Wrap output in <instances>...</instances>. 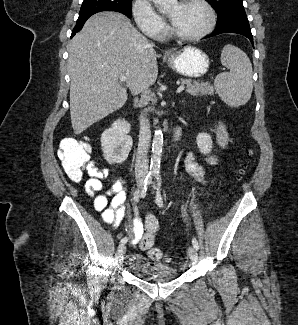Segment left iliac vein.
<instances>
[{
  "label": "left iliac vein",
  "instance_id": "1",
  "mask_svg": "<svg viewBox=\"0 0 298 325\" xmlns=\"http://www.w3.org/2000/svg\"><path fill=\"white\" fill-rule=\"evenodd\" d=\"M188 255L193 264H196L198 262V254L197 250L194 246H190L188 249Z\"/></svg>",
  "mask_w": 298,
  "mask_h": 325
}]
</instances>
